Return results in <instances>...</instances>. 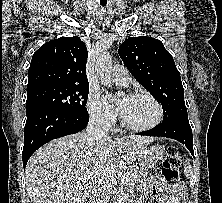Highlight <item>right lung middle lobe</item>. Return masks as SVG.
I'll use <instances>...</instances> for the list:
<instances>
[{
    "mask_svg": "<svg viewBox=\"0 0 222 203\" xmlns=\"http://www.w3.org/2000/svg\"><path fill=\"white\" fill-rule=\"evenodd\" d=\"M89 85H56L27 91L26 115L54 109L66 112H87Z\"/></svg>",
    "mask_w": 222,
    "mask_h": 203,
    "instance_id": "dd1d6c3e",
    "label": "right lung middle lobe"
}]
</instances>
